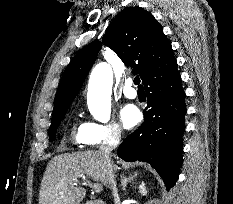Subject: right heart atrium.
<instances>
[{
  "instance_id": "d8ad5b80",
  "label": "right heart atrium",
  "mask_w": 233,
  "mask_h": 204,
  "mask_svg": "<svg viewBox=\"0 0 233 204\" xmlns=\"http://www.w3.org/2000/svg\"><path fill=\"white\" fill-rule=\"evenodd\" d=\"M122 138V130L115 122L99 123L89 121L84 123L82 144L96 147L102 144L116 143Z\"/></svg>"
}]
</instances>
